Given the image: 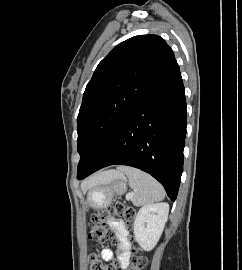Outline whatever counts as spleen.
Returning a JSON list of instances; mask_svg holds the SVG:
<instances>
[{"mask_svg":"<svg viewBox=\"0 0 242 270\" xmlns=\"http://www.w3.org/2000/svg\"><path fill=\"white\" fill-rule=\"evenodd\" d=\"M130 188L133 190L131 197L135 206H143L162 201L165 197V191L162 185L149 174L132 167H122Z\"/></svg>","mask_w":242,"mask_h":270,"instance_id":"obj_1","label":"spleen"}]
</instances>
